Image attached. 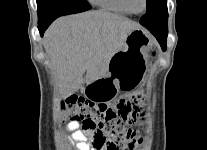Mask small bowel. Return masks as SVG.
Segmentation results:
<instances>
[{"label":"small bowel","mask_w":207,"mask_h":150,"mask_svg":"<svg viewBox=\"0 0 207 150\" xmlns=\"http://www.w3.org/2000/svg\"><path fill=\"white\" fill-rule=\"evenodd\" d=\"M79 120H71L68 125V131L73 133L74 138L77 140L76 149L77 150H98L97 147L93 145L94 134L86 135L80 129ZM90 140V142H89Z\"/></svg>","instance_id":"c3829d8e"}]
</instances>
